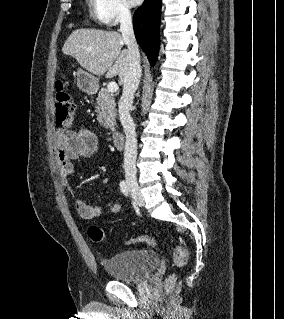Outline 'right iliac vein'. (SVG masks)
Segmentation results:
<instances>
[{
	"mask_svg": "<svg viewBox=\"0 0 284 319\" xmlns=\"http://www.w3.org/2000/svg\"><path fill=\"white\" fill-rule=\"evenodd\" d=\"M126 182H127L128 188H129L134 200L139 205H143L144 204V197L141 193L140 187L137 183L136 176L133 172H131V171L126 172Z\"/></svg>",
	"mask_w": 284,
	"mask_h": 319,
	"instance_id": "right-iliac-vein-1",
	"label": "right iliac vein"
}]
</instances>
